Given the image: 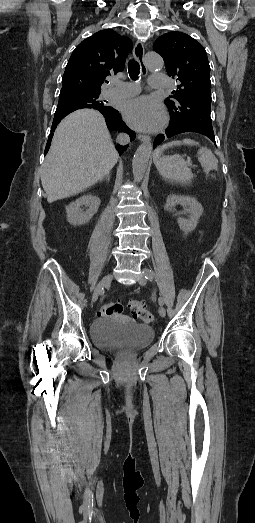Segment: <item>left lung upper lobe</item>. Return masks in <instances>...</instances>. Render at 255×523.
<instances>
[{"label": "left lung upper lobe", "instance_id": "5c2ea615", "mask_svg": "<svg viewBox=\"0 0 255 523\" xmlns=\"http://www.w3.org/2000/svg\"><path fill=\"white\" fill-rule=\"evenodd\" d=\"M153 48L163 57L167 74L180 81L173 95L165 99L170 122L198 125L213 134L210 66L204 47L189 35L172 31L159 37Z\"/></svg>", "mask_w": 255, "mask_h": 523}]
</instances>
